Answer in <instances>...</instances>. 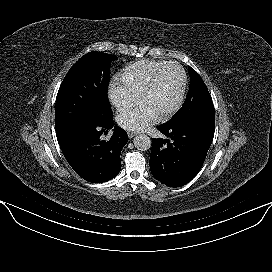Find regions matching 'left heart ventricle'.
I'll return each mask as SVG.
<instances>
[{"label":"left heart ventricle","instance_id":"left-heart-ventricle-1","mask_svg":"<svg viewBox=\"0 0 272 272\" xmlns=\"http://www.w3.org/2000/svg\"><path fill=\"white\" fill-rule=\"evenodd\" d=\"M182 86V74L174 66L169 67L160 77L157 85L142 100L159 116L176 103Z\"/></svg>","mask_w":272,"mask_h":272}]
</instances>
